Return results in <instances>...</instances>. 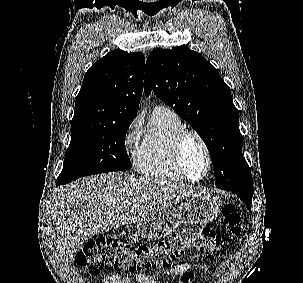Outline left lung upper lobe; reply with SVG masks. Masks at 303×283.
<instances>
[{
  "label": "left lung upper lobe",
  "instance_id": "1",
  "mask_svg": "<svg viewBox=\"0 0 303 283\" xmlns=\"http://www.w3.org/2000/svg\"><path fill=\"white\" fill-rule=\"evenodd\" d=\"M146 93L187 121L210 150L216 186L253 190L231 90L201 54L187 47L156 49L147 58Z\"/></svg>",
  "mask_w": 303,
  "mask_h": 283
}]
</instances>
